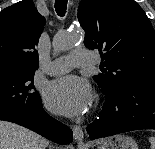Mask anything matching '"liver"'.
Listing matches in <instances>:
<instances>
[{"instance_id":"obj_1","label":"liver","mask_w":155,"mask_h":149,"mask_svg":"<svg viewBox=\"0 0 155 149\" xmlns=\"http://www.w3.org/2000/svg\"><path fill=\"white\" fill-rule=\"evenodd\" d=\"M48 141L17 124L0 121V149H46Z\"/></svg>"}]
</instances>
